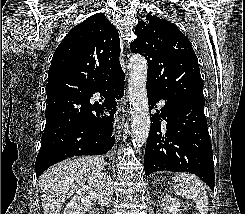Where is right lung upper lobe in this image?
<instances>
[{"label":"right lung upper lobe","instance_id":"cb5924a9","mask_svg":"<svg viewBox=\"0 0 245 214\" xmlns=\"http://www.w3.org/2000/svg\"><path fill=\"white\" fill-rule=\"evenodd\" d=\"M117 29L103 13L71 29L57 47L48 72V98L64 94L73 107L86 101L103 84L123 74Z\"/></svg>","mask_w":245,"mask_h":214}]
</instances>
